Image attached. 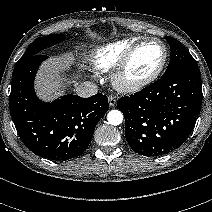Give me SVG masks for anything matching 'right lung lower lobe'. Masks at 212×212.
I'll return each mask as SVG.
<instances>
[{
    "mask_svg": "<svg viewBox=\"0 0 212 212\" xmlns=\"http://www.w3.org/2000/svg\"><path fill=\"white\" fill-rule=\"evenodd\" d=\"M46 58L36 54L16 63L12 75L10 113L28 149L41 157L64 161L80 156L86 150L109 104L101 93L89 98L67 94L51 103L41 101L35 95L33 82Z\"/></svg>",
    "mask_w": 212,
    "mask_h": 212,
    "instance_id": "obj_1",
    "label": "right lung lower lobe"
}]
</instances>
